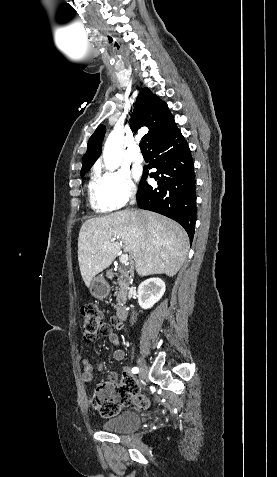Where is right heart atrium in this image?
<instances>
[{
    "label": "right heart atrium",
    "instance_id": "d8ad5b80",
    "mask_svg": "<svg viewBox=\"0 0 277 477\" xmlns=\"http://www.w3.org/2000/svg\"><path fill=\"white\" fill-rule=\"evenodd\" d=\"M99 182L103 197L111 210L124 207L136 195V186L124 169L101 172Z\"/></svg>",
    "mask_w": 277,
    "mask_h": 477
}]
</instances>
